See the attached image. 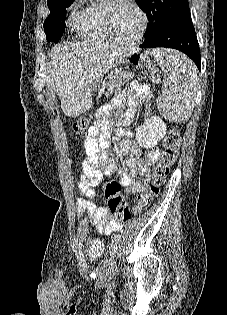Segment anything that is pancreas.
<instances>
[{
    "mask_svg": "<svg viewBox=\"0 0 227 315\" xmlns=\"http://www.w3.org/2000/svg\"><path fill=\"white\" fill-rule=\"evenodd\" d=\"M133 77H134V74H130L127 72H122L119 75L109 76V81L106 84V88H107L106 95H112L116 91L120 90V87Z\"/></svg>",
    "mask_w": 227,
    "mask_h": 315,
    "instance_id": "1",
    "label": "pancreas"
}]
</instances>
